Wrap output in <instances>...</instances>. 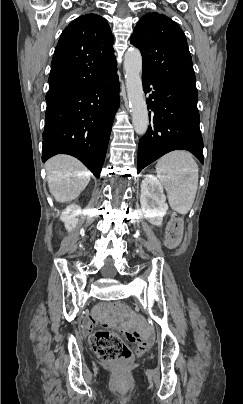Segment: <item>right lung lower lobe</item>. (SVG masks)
<instances>
[{
    "mask_svg": "<svg viewBox=\"0 0 243 404\" xmlns=\"http://www.w3.org/2000/svg\"><path fill=\"white\" fill-rule=\"evenodd\" d=\"M46 100L42 161L59 153L69 154L99 178L119 106L116 71L86 87Z\"/></svg>",
    "mask_w": 243,
    "mask_h": 404,
    "instance_id": "98d812e1",
    "label": "right lung lower lobe"
}]
</instances>
